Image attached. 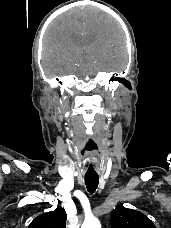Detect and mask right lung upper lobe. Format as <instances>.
I'll return each mask as SVG.
<instances>
[{"mask_svg": "<svg viewBox=\"0 0 171 228\" xmlns=\"http://www.w3.org/2000/svg\"><path fill=\"white\" fill-rule=\"evenodd\" d=\"M67 215L62 207L36 217L28 228H65Z\"/></svg>", "mask_w": 171, "mask_h": 228, "instance_id": "1", "label": "right lung upper lobe"}]
</instances>
